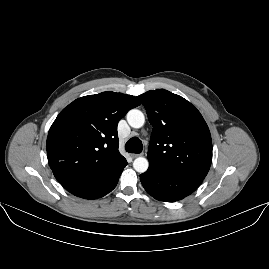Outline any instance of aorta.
<instances>
[{"instance_id":"762f6f07","label":"aorta","mask_w":269,"mask_h":269,"mask_svg":"<svg viewBox=\"0 0 269 269\" xmlns=\"http://www.w3.org/2000/svg\"><path fill=\"white\" fill-rule=\"evenodd\" d=\"M127 121L131 127L141 128L145 123V117L140 110L132 109L127 113ZM148 166V160L144 157H138L133 162V168L139 173L146 172Z\"/></svg>"}]
</instances>
